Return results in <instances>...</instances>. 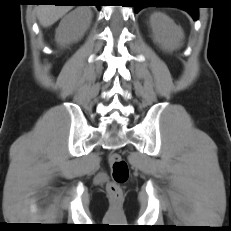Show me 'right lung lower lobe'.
Returning <instances> with one entry per match:
<instances>
[{"label": "right lung lower lobe", "mask_w": 231, "mask_h": 231, "mask_svg": "<svg viewBox=\"0 0 231 231\" xmlns=\"http://www.w3.org/2000/svg\"><path fill=\"white\" fill-rule=\"evenodd\" d=\"M40 3H55V5H77L79 0H37ZM100 8V6H97Z\"/></svg>", "instance_id": "right-lung-lower-lobe-1"}]
</instances>
